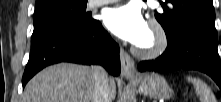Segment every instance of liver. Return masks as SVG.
Returning <instances> with one entry per match:
<instances>
[{"instance_id": "obj_1", "label": "liver", "mask_w": 221, "mask_h": 102, "mask_svg": "<svg viewBox=\"0 0 221 102\" xmlns=\"http://www.w3.org/2000/svg\"><path fill=\"white\" fill-rule=\"evenodd\" d=\"M93 67L71 63L49 66L26 85L22 102H92ZM109 97H116V84L109 78Z\"/></svg>"}]
</instances>
